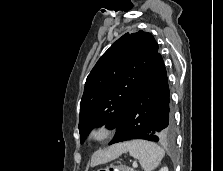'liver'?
<instances>
[{"label": "liver", "mask_w": 223, "mask_h": 171, "mask_svg": "<svg viewBox=\"0 0 223 171\" xmlns=\"http://www.w3.org/2000/svg\"><path fill=\"white\" fill-rule=\"evenodd\" d=\"M127 151V143L115 144L106 150L96 152L91 158V167L104 164L118 158L122 153Z\"/></svg>", "instance_id": "liver-1"}]
</instances>
